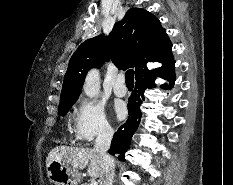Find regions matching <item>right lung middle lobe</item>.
<instances>
[{"instance_id": "1", "label": "right lung middle lobe", "mask_w": 233, "mask_h": 185, "mask_svg": "<svg viewBox=\"0 0 233 185\" xmlns=\"http://www.w3.org/2000/svg\"><path fill=\"white\" fill-rule=\"evenodd\" d=\"M75 101L76 100L61 102L60 105H59L58 114L60 116H65L67 114L68 110L71 108V106L74 104Z\"/></svg>"}]
</instances>
